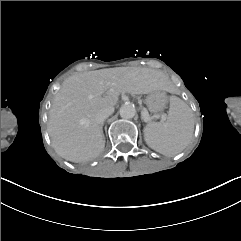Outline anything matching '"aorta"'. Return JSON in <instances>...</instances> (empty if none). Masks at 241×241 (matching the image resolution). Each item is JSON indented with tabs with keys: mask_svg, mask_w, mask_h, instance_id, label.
I'll return each mask as SVG.
<instances>
[{
	"mask_svg": "<svg viewBox=\"0 0 241 241\" xmlns=\"http://www.w3.org/2000/svg\"><path fill=\"white\" fill-rule=\"evenodd\" d=\"M136 114L134 104L125 103L120 107V116L124 119H132Z\"/></svg>",
	"mask_w": 241,
	"mask_h": 241,
	"instance_id": "aorta-1",
	"label": "aorta"
}]
</instances>
